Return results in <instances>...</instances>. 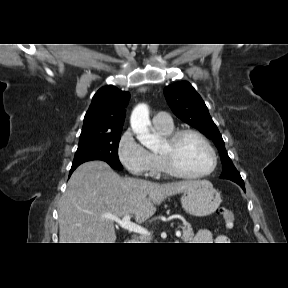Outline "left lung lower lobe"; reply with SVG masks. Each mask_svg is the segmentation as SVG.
Wrapping results in <instances>:
<instances>
[{"mask_svg":"<svg viewBox=\"0 0 288 288\" xmlns=\"http://www.w3.org/2000/svg\"><path fill=\"white\" fill-rule=\"evenodd\" d=\"M242 187V189L245 191V186L244 185H240Z\"/></svg>","mask_w":288,"mask_h":288,"instance_id":"left-lung-lower-lobe-1","label":"left lung lower lobe"}]
</instances>
